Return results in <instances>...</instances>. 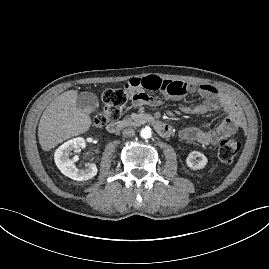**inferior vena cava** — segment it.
Returning <instances> with one entry per match:
<instances>
[{
	"mask_svg": "<svg viewBox=\"0 0 269 269\" xmlns=\"http://www.w3.org/2000/svg\"><path fill=\"white\" fill-rule=\"evenodd\" d=\"M122 134L124 137L130 138V137H133L135 135V131L133 128L127 127L122 131Z\"/></svg>",
	"mask_w": 269,
	"mask_h": 269,
	"instance_id": "602c4592",
	"label": "inferior vena cava"
}]
</instances>
